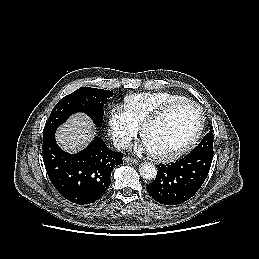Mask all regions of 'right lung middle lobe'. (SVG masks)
<instances>
[{"mask_svg":"<svg viewBox=\"0 0 259 259\" xmlns=\"http://www.w3.org/2000/svg\"><path fill=\"white\" fill-rule=\"evenodd\" d=\"M113 92L104 89L81 87L63 97L53 108L43 130V137L54 133L70 115L76 112L86 113L100 127L103 122V106Z\"/></svg>","mask_w":259,"mask_h":259,"instance_id":"dd1d6c3e","label":"right lung middle lobe"}]
</instances>
